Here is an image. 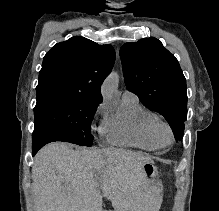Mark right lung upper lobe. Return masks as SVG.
I'll return each instance as SVG.
<instances>
[{"label":"right lung upper lobe","mask_w":219,"mask_h":211,"mask_svg":"<svg viewBox=\"0 0 219 211\" xmlns=\"http://www.w3.org/2000/svg\"><path fill=\"white\" fill-rule=\"evenodd\" d=\"M114 61L111 45L79 36L57 43L43 59L36 95L63 92L102 101L100 87Z\"/></svg>","instance_id":"obj_1"}]
</instances>
